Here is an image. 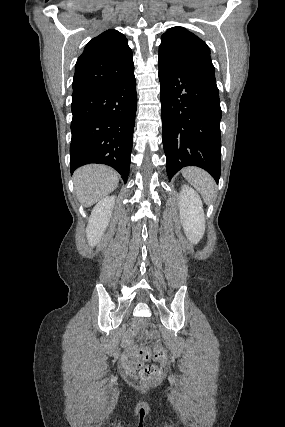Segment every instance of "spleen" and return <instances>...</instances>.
Segmentation results:
<instances>
[{
  "mask_svg": "<svg viewBox=\"0 0 285 427\" xmlns=\"http://www.w3.org/2000/svg\"><path fill=\"white\" fill-rule=\"evenodd\" d=\"M182 175L201 194L207 204L212 201L215 182L207 172L200 168L188 167L182 170Z\"/></svg>",
  "mask_w": 285,
  "mask_h": 427,
  "instance_id": "spleen-1",
  "label": "spleen"
}]
</instances>
